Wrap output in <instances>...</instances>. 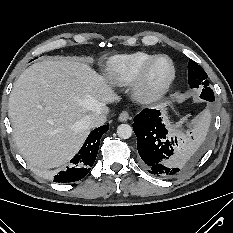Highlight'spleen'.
<instances>
[{"label": "spleen", "instance_id": "1", "mask_svg": "<svg viewBox=\"0 0 233 233\" xmlns=\"http://www.w3.org/2000/svg\"><path fill=\"white\" fill-rule=\"evenodd\" d=\"M186 120V117L185 118H182L180 121H178L177 123H175L174 127L176 128H179L181 127L182 123Z\"/></svg>", "mask_w": 233, "mask_h": 233}]
</instances>
